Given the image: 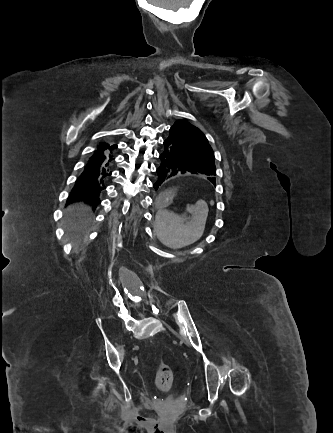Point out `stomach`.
I'll list each match as a JSON object with an SVG mask.
<instances>
[{"instance_id":"obj_1","label":"stomach","mask_w":333,"mask_h":433,"mask_svg":"<svg viewBox=\"0 0 333 433\" xmlns=\"http://www.w3.org/2000/svg\"><path fill=\"white\" fill-rule=\"evenodd\" d=\"M177 197H178L177 190H173L171 187H167L165 190H162L161 196L159 197V201H157L155 204L156 209L166 210L169 201H171L172 199H177Z\"/></svg>"}]
</instances>
